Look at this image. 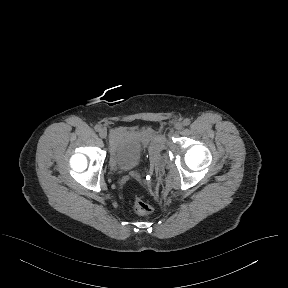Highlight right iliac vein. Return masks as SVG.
I'll list each match as a JSON object with an SVG mask.
<instances>
[{
    "instance_id": "obj_1",
    "label": "right iliac vein",
    "mask_w": 288,
    "mask_h": 288,
    "mask_svg": "<svg viewBox=\"0 0 288 288\" xmlns=\"http://www.w3.org/2000/svg\"><path fill=\"white\" fill-rule=\"evenodd\" d=\"M99 136L102 138V139H104V138H106L107 137V131H106V129H101L100 131H99Z\"/></svg>"
}]
</instances>
